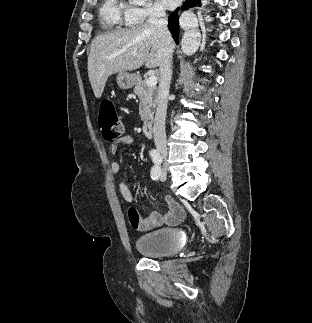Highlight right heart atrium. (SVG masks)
Here are the masks:
<instances>
[{
	"instance_id": "right-heart-atrium-1",
	"label": "right heart atrium",
	"mask_w": 312,
	"mask_h": 323,
	"mask_svg": "<svg viewBox=\"0 0 312 323\" xmlns=\"http://www.w3.org/2000/svg\"><path fill=\"white\" fill-rule=\"evenodd\" d=\"M165 7L157 6L156 2H142L140 6H130L122 10V17H129V22H152V17H165Z\"/></svg>"
}]
</instances>
